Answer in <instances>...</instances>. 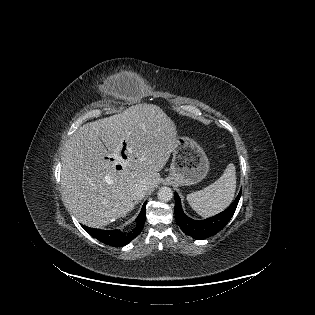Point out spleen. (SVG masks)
Wrapping results in <instances>:
<instances>
[{
  "label": "spleen",
  "instance_id": "spleen-1",
  "mask_svg": "<svg viewBox=\"0 0 315 315\" xmlns=\"http://www.w3.org/2000/svg\"><path fill=\"white\" fill-rule=\"evenodd\" d=\"M236 190V170L228 164L223 175L204 189L187 195L192 209L202 217L213 216L226 209L234 198Z\"/></svg>",
  "mask_w": 315,
  "mask_h": 315
}]
</instances>
